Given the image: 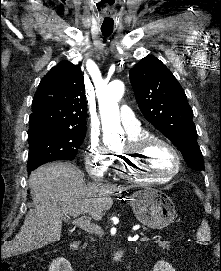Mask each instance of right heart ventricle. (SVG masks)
Here are the masks:
<instances>
[{
    "mask_svg": "<svg viewBox=\"0 0 221 271\" xmlns=\"http://www.w3.org/2000/svg\"><path fill=\"white\" fill-rule=\"evenodd\" d=\"M148 133L147 132H140V133H134L131 136H129L127 144H137V141L141 137H145ZM138 183L141 181L142 183H171V178H142L141 180L138 178L136 180Z\"/></svg>",
    "mask_w": 221,
    "mask_h": 271,
    "instance_id": "e07e8e85",
    "label": "right heart ventricle"
}]
</instances>
